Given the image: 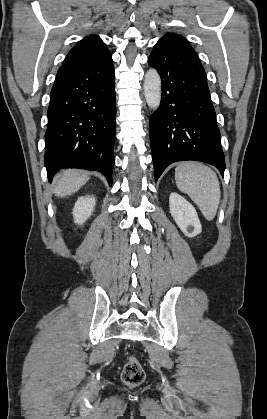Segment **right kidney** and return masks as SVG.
Here are the masks:
<instances>
[{
    "instance_id": "right-kidney-1",
    "label": "right kidney",
    "mask_w": 267,
    "mask_h": 419,
    "mask_svg": "<svg viewBox=\"0 0 267 419\" xmlns=\"http://www.w3.org/2000/svg\"><path fill=\"white\" fill-rule=\"evenodd\" d=\"M95 202V197L89 195L78 198L72 212L76 224L82 225L91 216Z\"/></svg>"
}]
</instances>
